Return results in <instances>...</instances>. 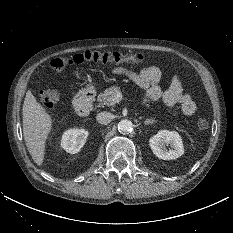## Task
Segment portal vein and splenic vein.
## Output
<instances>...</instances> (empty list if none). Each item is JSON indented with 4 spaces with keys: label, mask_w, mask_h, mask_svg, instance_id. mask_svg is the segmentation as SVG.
<instances>
[{
    "label": "portal vein and splenic vein",
    "mask_w": 233,
    "mask_h": 233,
    "mask_svg": "<svg viewBox=\"0 0 233 233\" xmlns=\"http://www.w3.org/2000/svg\"><path fill=\"white\" fill-rule=\"evenodd\" d=\"M123 99L121 93H117L116 96L114 97V103H118Z\"/></svg>",
    "instance_id": "18ae733b"
}]
</instances>
